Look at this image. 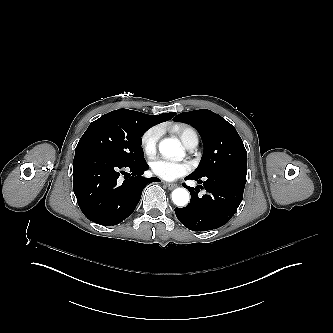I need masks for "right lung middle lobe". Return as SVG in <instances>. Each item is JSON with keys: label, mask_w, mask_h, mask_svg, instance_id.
I'll return each instance as SVG.
<instances>
[{"label": "right lung middle lobe", "mask_w": 333, "mask_h": 333, "mask_svg": "<svg viewBox=\"0 0 333 333\" xmlns=\"http://www.w3.org/2000/svg\"><path fill=\"white\" fill-rule=\"evenodd\" d=\"M150 127L133 113L112 111L89 125L76 149H95L124 164L142 163L141 137Z\"/></svg>", "instance_id": "right-lung-middle-lobe-1"}]
</instances>
